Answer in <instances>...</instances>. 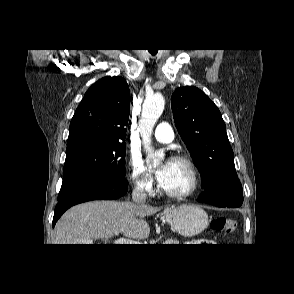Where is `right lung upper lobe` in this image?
Instances as JSON below:
<instances>
[{"label":"right lung upper lobe","mask_w":294,"mask_h":294,"mask_svg":"<svg viewBox=\"0 0 294 294\" xmlns=\"http://www.w3.org/2000/svg\"><path fill=\"white\" fill-rule=\"evenodd\" d=\"M130 114V91L124 78L105 77L85 93L70 123L67 144L93 140L124 143Z\"/></svg>","instance_id":"1"}]
</instances>
